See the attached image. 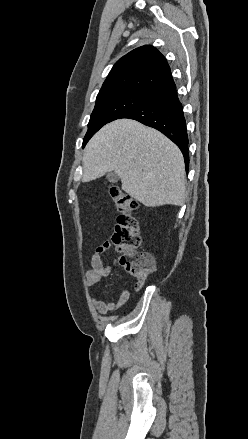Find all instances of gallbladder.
I'll return each mask as SVG.
<instances>
[{"label": "gallbladder", "mask_w": 248, "mask_h": 439, "mask_svg": "<svg viewBox=\"0 0 248 439\" xmlns=\"http://www.w3.org/2000/svg\"><path fill=\"white\" fill-rule=\"evenodd\" d=\"M107 180H108L110 183H116V182H118V180H119V176H118L114 171H112V172H109V173L107 174Z\"/></svg>", "instance_id": "obj_1"}]
</instances>
